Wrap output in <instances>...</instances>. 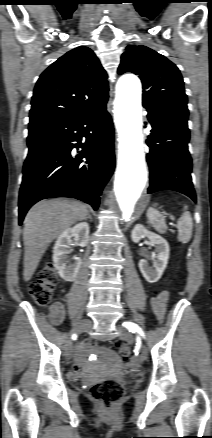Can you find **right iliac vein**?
I'll use <instances>...</instances> for the list:
<instances>
[{
	"instance_id": "63e3f726",
	"label": "right iliac vein",
	"mask_w": 212,
	"mask_h": 438,
	"mask_svg": "<svg viewBox=\"0 0 212 438\" xmlns=\"http://www.w3.org/2000/svg\"><path fill=\"white\" fill-rule=\"evenodd\" d=\"M90 328H91V322L89 320H83L73 328L71 333L72 334H80L84 331L89 330ZM65 350H66L67 358H71L72 353H73V348H72V343H71L70 339L67 341Z\"/></svg>"
}]
</instances>
